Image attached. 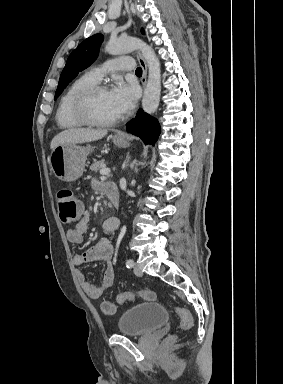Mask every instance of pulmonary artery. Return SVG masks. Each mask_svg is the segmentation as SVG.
Masks as SVG:
<instances>
[{"mask_svg":"<svg viewBox=\"0 0 283 384\" xmlns=\"http://www.w3.org/2000/svg\"><path fill=\"white\" fill-rule=\"evenodd\" d=\"M134 67L133 61H108L107 66H101L88 72L86 76L95 83H98L102 77L110 71H132Z\"/></svg>","mask_w":283,"mask_h":384,"instance_id":"1","label":"pulmonary artery"}]
</instances>
